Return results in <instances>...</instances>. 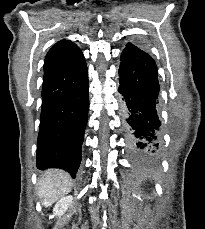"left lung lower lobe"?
Here are the masks:
<instances>
[{"label":"left lung lower lobe","instance_id":"obj_1","mask_svg":"<svg viewBox=\"0 0 205 229\" xmlns=\"http://www.w3.org/2000/svg\"><path fill=\"white\" fill-rule=\"evenodd\" d=\"M119 94L129 149L137 156L158 159L162 127L158 116L159 81L153 58L128 43L121 54Z\"/></svg>","mask_w":205,"mask_h":229}]
</instances>
